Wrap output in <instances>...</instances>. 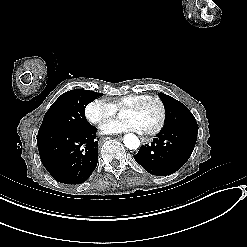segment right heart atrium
Returning <instances> with one entry per match:
<instances>
[{"label":"right heart atrium","instance_id":"d8ad5b80","mask_svg":"<svg viewBox=\"0 0 247 247\" xmlns=\"http://www.w3.org/2000/svg\"><path fill=\"white\" fill-rule=\"evenodd\" d=\"M115 113L113 104L100 98L91 99L84 107L86 119L95 125H99L112 117Z\"/></svg>","mask_w":247,"mask_h":247}]
</instances>
